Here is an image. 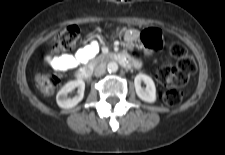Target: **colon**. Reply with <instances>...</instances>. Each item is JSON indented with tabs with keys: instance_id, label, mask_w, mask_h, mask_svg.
I'll list each match as a JSON object with an SVG mask.
<instances>
[{
	"instance_id": "obj_1",
	"label": "colon",
	"mask_w": 225,
	"mask_h": 155,
	"mask_svg": "<svg viewBox=\"0 0 225 155\" xmlns=\"http://www.w3.org/2000/svg\"><path fill=\"white\" fill-rule=\"evenodd\" d=\"M80 36L77 26H68L53 37V47L56 51H68L75 47ZM141 43L147 49H157L161 45V32L154 28L144 30L140 35ZM170 54L176 58V63H164L157 71L158 81L167 89L160 94V99L168 106H176L182 99L181 88L196 71V62L188 54L186 47L181 43L170 46ZM130 56L134 62L143 60V53L139 47L130 49ZM39 91L44 95L51 94L61 83L59 74H40L36 78Z\"/></svg>"
}]
</instances>
